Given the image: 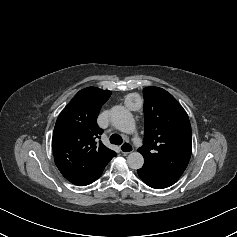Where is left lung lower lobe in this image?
<instances>
[{"mask_svg":"<svg viewBox=\"0 0 237 237\" xmlns=\"http://www.w3.org/2000/svg\"><path fill=\"white\" fill-rule=\"evenodd\" d=\"M137 172L145 184L155 189L169 187L180 178L179 176L166 173L147 164H144L141 169L137 170Z\"/></svg>","mask_w":237,"mask_h":237,"instance_id":"0a47b994","label":"left lung lower lobe"}]
</instances>
